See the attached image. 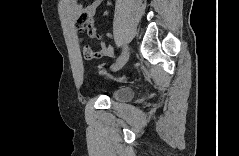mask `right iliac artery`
I'll list each match as a JSON object with an SVG mask.
<instances>
[{"mask_svg": "<svg viewBox=\"0 0 239 156\" xmlns=\"http://www.w3.org/2000/svg\"><path fill=\"white\" fill-rule=\"evenodd\" d=\"M127 49H128L127 46L124 45V47H123V49H122V52H121L120 56L117 58V60L120 59V58L125 54V52L127 51ZM117 60H116V61H117Z\"/></svg>", "mask_w": 239, "mask_h": 156, "instance_id": "right-iliac-artery-1", "label": "right iliac artery"}]
</instances>
